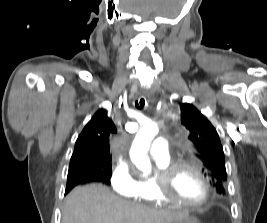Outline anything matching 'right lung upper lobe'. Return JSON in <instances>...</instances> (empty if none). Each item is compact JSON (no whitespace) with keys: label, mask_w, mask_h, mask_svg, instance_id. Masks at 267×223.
<instances>
[{"label":"right lung upper lobe","mask_w":267,"mask_h":223,"mask_svg":"<svg viewBox=\"0 0 267 223\" xmlns=\"http://www.w3.org/2000/svg\"><path fill=\"white\" fill-rule=\"evenodd\" d=\"M117 129L107 112L99 110L85 126L79 135L70 166L84 163L88 166V172H96L108 175L111 171V158L109 155L108 140L110 134Z\"/></svg>","instance_id":"1"}]
</instances>
